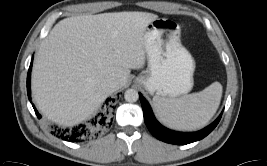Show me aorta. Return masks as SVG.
<instances>
[{
	"label": "aorta",
	"mask_w": 267,
	"mask_h": 166,
	"mask_svg": "<svg viewBox=\"0 0 267 166\" xmlns=\"http://www.w3.org/2000/svg\"><path fill=\"white\" fill-rule=\"evenodd\" d=\"M124 98L127 102H136L139 94L135 89H128L125 91Z\"/></svg>",
	"instance_id": "aorta-1"
}]
</instances>
